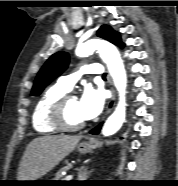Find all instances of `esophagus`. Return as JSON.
Masks as SVG:
<instances>
[{
  "instance_id": "1",
  "label": "esophagus",
  "mask_w": 178,
  "mask_h": 186,
  "mask_svg": "<svg viewBox=\"0 0 178 186\" xmlns=\"http://www.w3.org/2000/svg\"><path fill=\"white\" fill-rule=\"evenodd\" d=\"M108 81H109V84H110V87H111L112 96H111V99H110V101L108 103V106H107V114H109L111 112V110L113 109L114 104H115V91H114V88H113V83H112L111 76L109 74H108Z\"/></svg>"
}]
</instances>
